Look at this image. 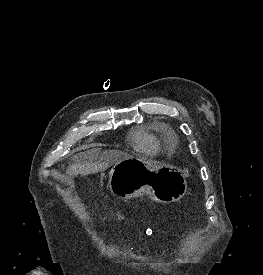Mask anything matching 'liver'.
I'll list each match as a JSON object with an SVG mask.
<instances>
[{"label":"liver","instance_id":"liver-1","mask_svg":"<svg viewBox=\"0 0 263 275\" xmlns=\"http://www.w3.org/2000/svg\"><path fill=\"white\" fill-rule=\"evenodd\" d=\"M88 153L80 155L82 160L78 161L75 164H72L68 169L67 173L70 175H82L86 176L92 173H97L103 170H106L110 166V160L114 161L115 164L119 161L131 157L130 155L119 152V151H110L106 152L99 161L86 160L88 158Z\"/></svg>","mask_w":263,"mask_h":275}]
</instances>
